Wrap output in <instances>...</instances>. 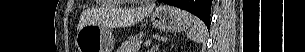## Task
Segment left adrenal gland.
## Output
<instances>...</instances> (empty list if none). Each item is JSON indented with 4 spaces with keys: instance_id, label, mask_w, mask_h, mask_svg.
Masks as SVG:
<instances>
[{
    "instance_id": "1",
    "label": "left adrenal gland",
    "mask_w": 305,
    "mask_h": 52,
    "mask_svg": "<svg viewBox=\"0 0 305 52\" xmlns=\"http://www.w3.org/2000/svg\"><path fill=\"white\" fill-rule=\"evenodd\" d=\"M158 49H159V44L153 45V46L151 47V49H150V52H157Z\"/></svg>"
}]
</instances>
